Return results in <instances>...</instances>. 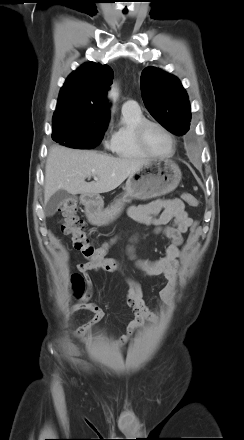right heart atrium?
<instances>
[{
  "mask_svg": "<svg viewBox=\"0 0 244 440\" xmlns=\"http://www.w3.org/2000/svg\"><path fill=\"white\" fill-rule=\"evenodd\" d=\"M104 144H105L106 146H108V145H109V142H108L107 140H104Z\"/></svg>",
  "mask_w": 244,
  "mask_h": 440,
  "instance_id": "d8ad5b80",
  "label": "right heart atrium"
}]
</instances>
